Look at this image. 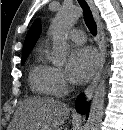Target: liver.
<instances>
[{
  "label": "liver",
  "mask_w": 123,
  "mask_h": 130,
  "mask_svg": "<svg viewBox=\"0 0 123 130\" xmlns=\"http://www.w3.org/2000/svg\"><path fill=\"white\" fill-rule=\"evenodd\" d=\"M70 108L51 98L31 97L21 102L8 130H59Z\"/></svg>",
  "instance_id": "liver-1"
}]
</instances>
